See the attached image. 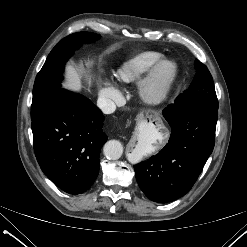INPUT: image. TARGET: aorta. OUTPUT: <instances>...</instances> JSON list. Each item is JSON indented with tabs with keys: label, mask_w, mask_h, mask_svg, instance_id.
<instances>
[{
	"label": "aorta",
	"mask_w": 247,
	"mask_h": 247,
	"mask_svg": "<svg viewBox=\"0 0 247 247\" xmlns=\"http://www.w3.org/2000/svg\"><path fill=\"white\" fill-rule=\"evenodd\" d=\"M103 153L110 160H117L123 154V146L117 140H110L105 143Z\"/></svg>",
	"instance_id": "1"
}]
</instances>
